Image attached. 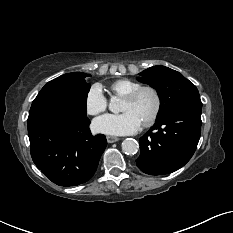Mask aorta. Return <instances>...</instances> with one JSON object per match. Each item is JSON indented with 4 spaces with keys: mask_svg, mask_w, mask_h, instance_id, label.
I'll return each mask as SVG.
<instances>
[{
    "mask_svg": "<svg viewBox=\"0 0 233 233\" xmlns=\"http://www.w3.org/2000/svg\"><path fill=\"white\" fill-rule=\"evenodd\" d=\"M109 109L113 113L119 112V99L112 98L109 102ZM139 144L133 138H127L122 142V150L125 154L134 155L138 152Z\"/></svg>",
    "mask_w": 233,
    "mask_h": 233,
    "instance_id": "762f6f07",
    "label": "aorta"
}]
</instances>
